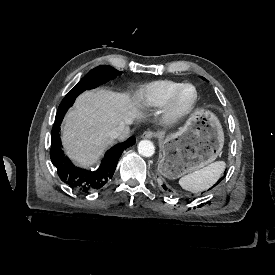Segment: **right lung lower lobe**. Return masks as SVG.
Segmentation results:
<instances>
[{"label": "right lung lower lobe", "mask_w": 275, "mask_h": 275, "mask_svg": "<svg viewBox=\"0 0 275 275\" xmlns=\"http://www.w3.org/2000/svg\"><path fill=\"white\" fill-rule=\"evenodd\" d=\"M74 102H66L59 105L55 122L52 128L50 157L57 169L60 179L73 189L81 193H89L102 188L113 176L118 160L122 152L135 144V138L119 143L108 150L100 167L95 171H88L75 167L68 157L64 156L61 149L60 124L66 111Z\"/></svg>", "instance_id": "1"}]
</instances>
